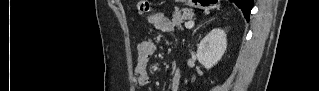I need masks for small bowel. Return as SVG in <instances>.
<instances>
[{"label":"small bowel","instance_id":"1","mask_svg":"<svg viewBox=\"0 0 319 91\" xmlns=\"http://www.w3.org/2000/svg\"><path fill=\"white\" fill-rule=\"evenodd\" d=\"M148 24L153 28L154 32H173V24L170 19L162 12L151 14L147 18ZM157 45L151 39H144L137 46V60L134 65V74L136 84L146 86L151 83V74L149 70V61L156 54ZM171 90L178 91L181 83V73L179 69H174L171 77Z\"/></svg>","mask_w":319,"mask_h":91}]
</instances>
